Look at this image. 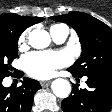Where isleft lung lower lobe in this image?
I'll use <instances>...</instances> for the list:
<instances>
[{
	"label": "left lung lower lobe",
	"mask_w": 112,
	"mask_h": 112,
	"mask_svg": "<svg viewBox=\"0 0 112 112\" xmlns=\"http://www.w3.org/2000/svg\"><path fill=\"white\" fill-rule=\"evenodd\" d=\"M76 80L80 76L68 70ZM88 88L73 85L72 94L61 103L64 112H109L112 109V71L86 75Z\"/></svg>",
	"instance_id": "0a47b994"
}]
</instances>
